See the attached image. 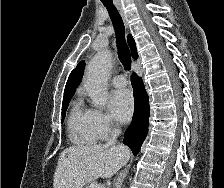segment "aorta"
<instances>
[{
    "label": "aorta",
    "instance_id": "obj_1",
    "mask_svg": "<svg viewBox=\"0 0 224 188\" xmlns=\"http://www.w3.org/2000/svg\"><path fill=\"white\" fill-rule=\"evenodd\" d=\"M111 66L112 54L108 50L98 52L88 64L84 84L96 107H102L106 104L107 80Z\"/></svg>",
    "mask_w": 224,
    "mask_h": 188
}]
</instances>
